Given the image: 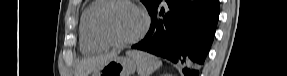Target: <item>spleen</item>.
Listing matches in <instances>:
<instances>
[{
    "label": "spleen",
    "instance_id": "obj_1",
    "mask_svg": "<svg viewBox=\"0 0 287 76\" xmlns=\"http://www.w3.org/2000/svg\"><path fill=\"white\" fill-rule=\"evenodd\" d=\"M127 55L136 62L139 76H150L162 65L159 58L143 51H128Z\"/></svg>",
    "mask_w": 287,
    "mask_h": 76
}]
</instances>
